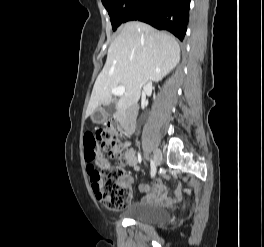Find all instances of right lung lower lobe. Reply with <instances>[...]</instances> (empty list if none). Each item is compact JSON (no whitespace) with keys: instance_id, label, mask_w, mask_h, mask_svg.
<instances>
[{"instance_id":"98d812e1","label":"right lung lower lobe","mask_w":264,"mask_h":247,"mask_svg":"<svg viewBox=\"0 0 264 247\" xmlns=\"http://www.w3.org/2000/svg\"><path fill=\"white\" fill-rule=\"evenodd\" d=\"M190 0H134L123 22L139 20L184 39L189 19Z\"/></svg>"}]
</instances>
